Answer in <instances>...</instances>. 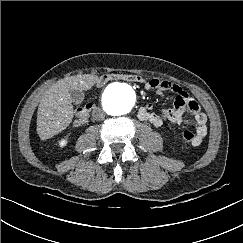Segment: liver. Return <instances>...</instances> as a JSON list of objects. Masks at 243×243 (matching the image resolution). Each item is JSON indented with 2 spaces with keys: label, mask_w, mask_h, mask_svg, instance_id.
Masks as SVG:
<instances>
[{
  "label": "liver",
  "mask_w": 243,
  "mask_h": 243,
  "mask_svg": "<svg viewBox=\"0 0 243 243\" xmlns=\"http://www.w3.org/2000/svg\"><path fill=\"white\" fill-rule=\"evenodd\" d=\"M95 76L85 74L59 80L44 93L37 111V133L47 140L66 129L73 119L71 91L88 89Z\"/></svg>",
  "instance_id": "1"
}]
</instances>
